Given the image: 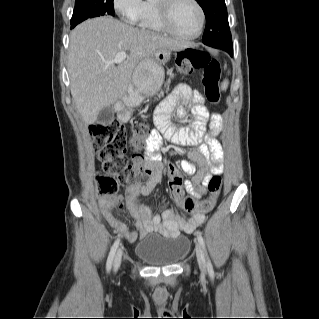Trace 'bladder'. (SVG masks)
Here are the masks:
<instances>
[{
	"mask_svg": "<svg viewBox=\"0 0 319 319\" xmlns=\"http://www.w3.org/2000/svg\"><path fill=\"white\" fill-rule=\"evenodd\" d=\"M191 242L186 235H145L135 247V255L149 266L173 265L189 252Z\"/></svg>",
	"mask_w": 319,
	"mask_h": 319,
	"instance_id": "obj_1",
	"label": "bladder"
}]
</instances>
